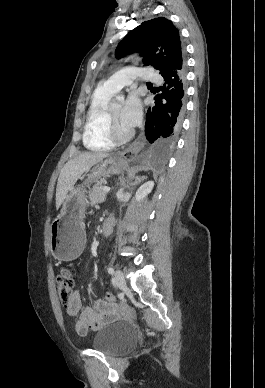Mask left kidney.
Returning a JSON list of instances; mask_svg holds the SVG:
<instances>
[{
    "mask_svg": "<svg viewBox=\"0 0 265 388\" xmlns=\"http://www.w3.org/2000/svg\"><path fill=\"white\" fill-rule=\"evenodd\" d=\"M154 188V182H146L143 186H140L139 190L136 192V200L137 202H141L143 198H146L150 192H152Z\"/></svg>",
    "mask_w": 265,
    "mask_h": 388,
    "instance_id": "1",
    "label": "left kidney"
}]
</instances>
